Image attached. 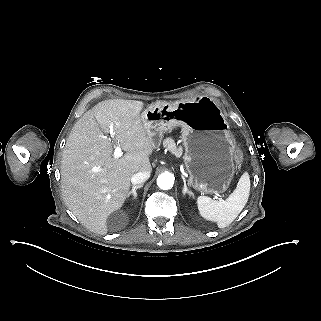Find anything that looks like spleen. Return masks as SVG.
Segmentation results:
<instances>
[{"instance_id":"1","label":"spleen","mask_w":321,"mask_h":321,"mask_svg":"<svg viewBox=\"0 0 321 321\" xmlns=\"http://www.w3.org/2000/svg\"><path fill=\"white\" fill-rule=\"evenodd\" d=\"M250 194V177L247 172L240 177L236 189L226 200H213L199 196L197 205L200 215L206 220L216 222L219 228L229 226L245 207Z\"/></svg>"}]
</instances>
